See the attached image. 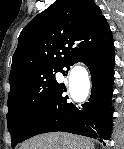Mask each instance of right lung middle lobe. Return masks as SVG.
Segmentation results:
<instances>
[{
  "instance_id": "right-lung-middle-lobe-1",
  "label": "right lung middle lobe",
  "mask_w": 124,
  "mask_h": 149,
  "mask_svg": "<svg viewBox=\"0 0 124 149\" xmlns=\"http://www.w3.org/2000/svg\"><path fill=\"white\" fill-rule=\"evenodd\" d=\"M57 72L62 73L63 70L50 68L35 72L11 88L7 101V123L12 147L20 142L29 121L58 84Z\"/></svg>"
}]
</instances>
